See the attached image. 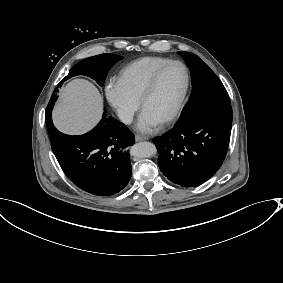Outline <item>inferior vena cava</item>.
Segmentation results:
<instances>
[{"label": "inferior vena cava", "instance_id": "inferior-vena-cava-1", "mask_svg": "<svg viewBox=\"0 0 283 283\" xmlns=\"http://www.w3.org/2000/svg\"><path fill=\"white\" fill-rule=\"evenodd\" d=\"M133 110L128 107H121L117 110V116L121 122L130 124L133 121Z\"/></svg>", "mask_w": 283, "mask_h": 283}]
</instances>
